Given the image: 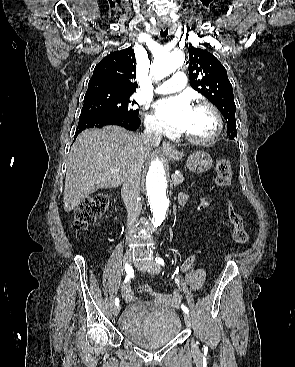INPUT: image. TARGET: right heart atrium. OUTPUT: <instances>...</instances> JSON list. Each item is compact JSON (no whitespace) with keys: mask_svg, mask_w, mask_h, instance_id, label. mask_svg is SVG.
<instances>
[{"mask_svg":"<svg viewBox=\"0 0 295 367\" xmlns=\"http://www.w3.org/2000/svg\"><path fill=\"white\" fill-rule=\"evenodd\" d=\"M144 124L146 129L156 136H162L168 133L166 126L151 112L147 111L145 113Z\"/></svg>","mask_w":295,"mask_h":367,"instance_id":"obj_1","label":"right heart atrium"}]
</instances>
